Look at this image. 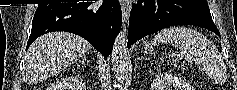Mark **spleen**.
<instances>
[{"instance_id": "obj_1", "label": "spleen", "mask_w": 237, "mask_h": 90, "mask_svg": "<svg viewBox=\"0 0 237 90\" xmlns=\"http://www.w3.org/2000/svg\"><path fill=\"white\" fill-rule=\"evenodd\" d=\"M157 44H172L179 48L180 54L187 58L188 62H195L202 70H210L211 64L218 60L217 48L207 40L203 34H199L192 28H166L158 32L154 38V46Z\"/></svg>"}]
</instances>
